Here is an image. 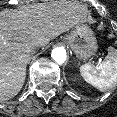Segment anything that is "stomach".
I'll return each instance as SVG.
<instances>
[{"mask_svg":"<svg viewBox=\"0 0 117 117\" xmlns=\"http://www.w3.org/2000/svg\"><path fill=\"white\" fill-rule=\"evenodd\" d=\"M65 42L78 58H89L97 51V40L85 24L76 25L66 36Z\"/></svg>","mask_w":117,"mask_h":117,"instance_id":"stomach-1","label":"stomach"}]
</instances>
